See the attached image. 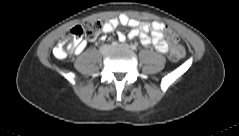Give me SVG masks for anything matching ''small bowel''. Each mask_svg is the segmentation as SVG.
Here are the masks:
<instances>
[{"label": "small bowel", "mask_w": 239, "mask_h": 136, "mask_svg": "<svg viewBox=\"0 0 239 136\" xmlns=\"http://www.w3.org/2000/svg\"><path fill=\"white\" fill-rule=\"evenodd\" d=\"M128 26L131 30L128 33H118V39L125 41L126 39L139 38L145 46H153L158 52L165 53L168 50V43L164 39L165 24L154 21L152 23L139 22L129 18L126 15H120L106 22L102 27L103 33H111L118 26ZM84 47V43L77 48L80 51Z\"/></svg>", "instance_id": "1"}]
</instances>
